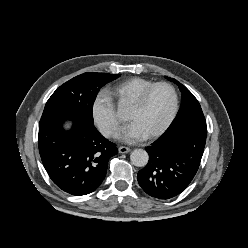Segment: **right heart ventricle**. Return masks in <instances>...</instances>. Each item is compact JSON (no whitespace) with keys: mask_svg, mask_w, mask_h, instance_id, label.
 Masks as SVG:
<instances>
[{"mask_svg":"<svg viewBox=\"0 0 248 248\" xmlns=\"http://www.w3.org/2000/svg\"><path fill=\"white\" fill-rule=\"evenodd\" d=\"M153 83L142 77H132L115 83L109 88L108 93L120 107L128 109L141 92Z\"/></svg>","mask_w":248,"mask_h":248,"instance_id":"e07e8e85","label":"right heart ventricle"}]
</instances>
